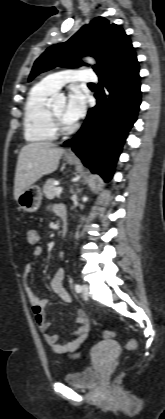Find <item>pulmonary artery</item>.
I'll use <instances>...</instances> for the list:
<instances>
[{
  "mask_svg": "<svg viewBox=\"0 0 165 419\" xmlns=\"http://www.w3.org/2000/svg\"><path fill=\"white\" fill-rule=\"evenodd\" d=\"M73 81L91 83L97 81V75L91 68H78L49 74L41 82L49 89L57 91L66 83Z\"/></svg>",
  "mask_w": 165,
  "mask_h": 419,
  "instance_id": "obj_1",
  "label": "pulmonary artery"
}]
</instances>
